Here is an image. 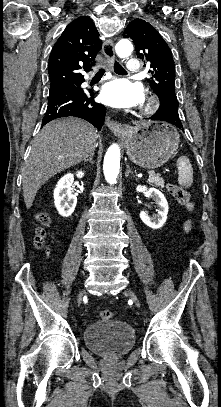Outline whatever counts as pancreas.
<instances>
[{"mask_svg": "<svg viewBox=\"0 0 221 407\" xmlns=\"http://www.w3.org/2000/svg\"><path fill=\"white\" fill-rule=\"evenodd\" d=\"M148 181L156 186H160V187H164V180L163 178L160 176V174H152L149 175L148 177Z\"/></svg>", "mask_w": 221, "mask_h": 407, "instance_id": "cf45deb5", "label": "pancreas"}]
</instances>
